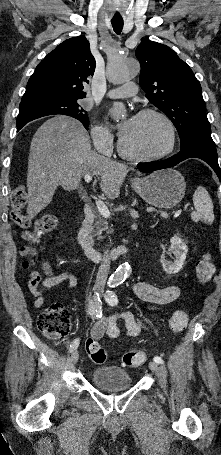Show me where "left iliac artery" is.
Returning <instances> with one entry per match:
<instances>
[{"mask_svg":"<svg viewBox=\"0 0 221 455\" xmlns=\"http://www.w3.org/2000/svg\"><path fill=\"white\" fill-rule=\"evenodd\" d=\"M114 287V286H112ZM105 300L106 302L111 305V306H114V305H117L118 303V297L117 295L115 294L114 291L112 290H108L105 294ZM154 361L158 364H162L163 363V360L161 357H158V356H155L154 357Z\"/></svg>","mask_w":221,"mask_h":455,"instance_id":"left-iliac-artery-1","label":"left iliac artery"}]
</instances>
